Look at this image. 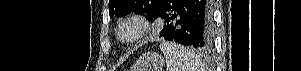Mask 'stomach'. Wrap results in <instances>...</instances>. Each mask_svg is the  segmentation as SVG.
Instances as JSON below:
<instances>
[{"instance_id":"obj_1","label":"stomach","mask_w":301,"mask_h":71,"mask_svg":"<svg viewBox=\"0 0 301 71\" xmlns=\"http://www.w3.org/2000/svg\"><path fill=\"white\" fill-rule=\"evenodd\" d=\"M164 58L156 52L143 54L132 66V71H162Z\"/></svg>"}]
</instances>
